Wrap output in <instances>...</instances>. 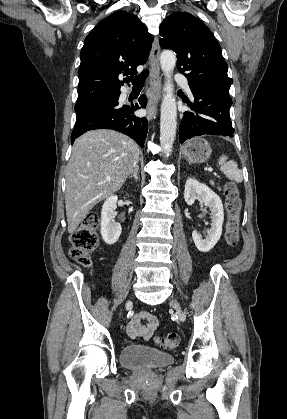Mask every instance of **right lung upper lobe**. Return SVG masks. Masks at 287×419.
I'll use <instances>...</instances> for the list:
<instances>
[{"mask_svg":"<svg viewBox=\"0 0 287 419\" xmlns=\"http://www.w3.org/2000/svg\"><path fill=\"white\" fill-rule=\"evenodd\" d=\"M153 37L133 14L116 11L99 22L85 38L78 70L75 107L119 96L118 76L137 74L149 56Z\"/></svg>","mask_w":287,"mask_h":419,"instance_id":"1","label":"right lung upper lobe"}]
</instances>
